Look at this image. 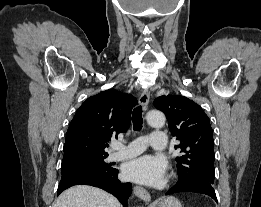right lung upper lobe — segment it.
<instances>
[{"label":"right lung upper lobe","instance_id":"right-lung-upper-lobe-1","mask_svg":"<svg viewBox=\"0 0 261 207\" xmlns=\"http://www.w3.org/2000/svg\"><path fill=\"white\" fill-rule=\"evenodd\" d=\"M136 98L115 89L89 97L78 108L67 131L63 161L108 155L104 149L112 136L130 126Z\"/></svg>","mask_w":261,"mask_h":207}]
</instances>
